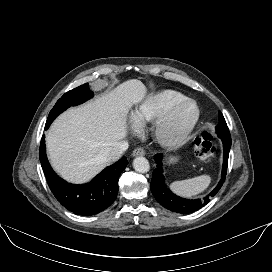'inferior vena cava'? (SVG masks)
<instances>
[{
  "label": "inferior vena cava",
  "instance_id": "1",
  "mask_svg": "<svg viewBox=\"0 0 272 272\" xmlns=\"http://www.w3.org/2000/svg\"><path fill=\"white\" fill-rule=\"evenodd\" d=\"M128 147L129 143L127 141L115 142L113 146L107 148L103 152L101 158L108 163L117 161L121 157L122 153L128 149Z\"/></svg>",
  "mask_w": 272,
  "mask_h": 272
}]
</instances>
